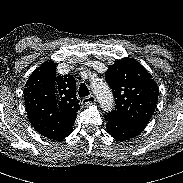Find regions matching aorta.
I'll use <instances>...</instances> for the list:
<instances>
[{
  "mask_svg": "<svg viewBox=\"0 0 183 183\" xmlns=\"http://www.w3.org/2000/svg\"><path fill=\"white\" fill-rule=\"evenodd\" d=\"M92 89L101 105V108L104 111H111L114 106V98L107 83L102 80H96L92 83Z\"/></svg>",
  "mask_w": 183,
  "mask_h": 183,
  "instance_id": "obj_1",
  "label": "aorta"
}]
</instances>
